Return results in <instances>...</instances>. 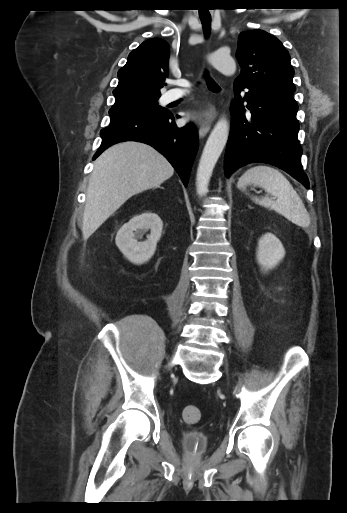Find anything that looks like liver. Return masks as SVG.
<instances>
[{"label":"liver","mask_w":347,"mask_h":513,"mask_svg":"<svg viewBox=\"0 0 347 513\" xmlns=\"http://www.w3.org/2000/svg\"><path fill=\"white\" fill-rule=\"evenodd\" d=\"M174 174L166 158L148 144L125 141L105 150L89 179L82 234L87 239L129 198L159 187Z\"/></svg>","instance_id":"1"}]
</instances>
